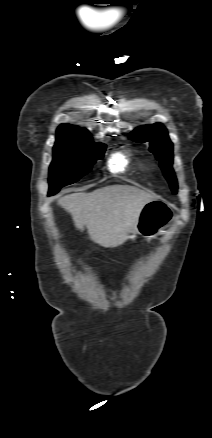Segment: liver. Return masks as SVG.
<instances>
[{
	"instance_id": "6515ba94",
	"label": "liver",
	"mask_w": 212,
	"mask_h": 438,
	"mask_svg": "<svg viewBox=\"0 0 212 438\" xmlns=\"http://www.w3.org/2000/svg\"><path fill=\"white\" fill-rule=\"evenodd\" d=\"M155 199L138 188L113 185L60 197L58 204L71 214L77 229L87 228L92 241L117 247L135 229L144 205Z\"/></svg>"
}]
</instances>
